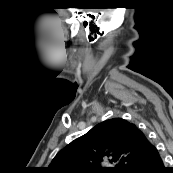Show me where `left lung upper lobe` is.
Wrapping results in <instances>:
<instances>
[{
    "label": "left lung upper lobe",
    "mask_w": 173,
    "mask_h": 173,
    "mask_svg": "<svg viewBox=\"0 0 173 173\" xmlns=\"http://www.w3.org/2000/svg\"><path fill=\"white\" fill-rule=\"evenodd\" d=\"M150 141L133 123L121 118L103 121L75 139L52 160L54 173H130ZM109 158L113 167H102Z\"/></svg>",
    "instance_id": "left-lung-upper-lobe-1"
}]
</instances>
